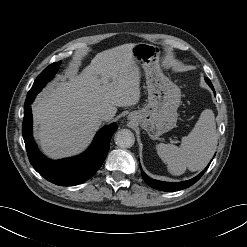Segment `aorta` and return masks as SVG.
<instances>
[{"instance_id": "1", "label": "aorta", "mask_w": 247, "mask_h": 247, "mask_svg": "<svg viewBox=\"0 0 247 247\" xmlns=\"http://www.w3.org/2000/svg\"><path fill=\"white\" fill-rule=\"evenodd\" d=\"M115 143L121 148H130L135 142L134 134L128 129H121L115 134Z\"/></svg>"}]
</instances>
